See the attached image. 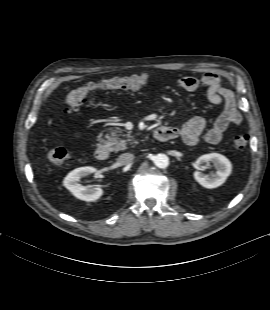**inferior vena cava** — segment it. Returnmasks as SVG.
I'll use <instances>...</instances> for the list:
<instances>
[{
  "label": "inferior vena cava",
  "instance_id": "602c4592",
  "mask_svg": "<svg viewBox=\"0 0 270 310\" xmlns=\"http://www.w3.org/2000/svg\"><path fill=\"white\" fill-rule=\"evenodd\" d=\"M134 159V155L132 153H124L121 154L118 158V162L122 165L128 164Z\"/></svg>",
  "mask_w": 270,
  "mask_h": 310
}]
</instances>
